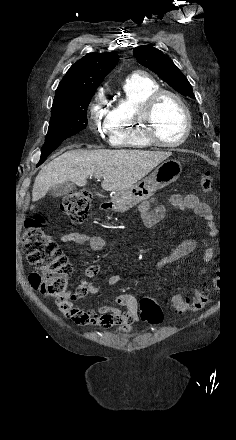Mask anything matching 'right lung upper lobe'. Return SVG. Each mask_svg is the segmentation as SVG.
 <instances>
[{
    "mask_svg": "<svg viewBox=\"0 0 236 440\" xmlns=\"http://www.w3.org/2000/svg\"><path fill=\"white\" fill-rule=\"evenodd\" d=\"M115 53H89L67 71L56 89L53 104L95 93L104 77L116 66Z\"/></svg>",
    "mask_w": 236,
    "mask_h": 440,
    "instance_id": "1",
    "label": "right lung upper lobe"
}]
</instances>
